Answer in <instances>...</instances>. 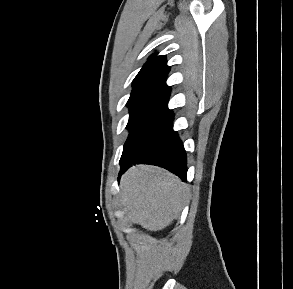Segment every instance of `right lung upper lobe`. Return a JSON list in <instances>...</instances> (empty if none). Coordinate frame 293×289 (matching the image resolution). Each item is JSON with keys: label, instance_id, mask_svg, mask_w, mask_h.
Segmentation results:
<instances>
[{"label": "right lung upper lobe", "instance_id": "cb5924a9", "mask_svg": "<svg viewBox=\"0 0 293 289\" xmlns=\"http://www.w3.org/2000/svg\"><path fill=\"white\" fill-rule=\"evenodd\" d=\"M169 71L166 56H150L133 80V90L128 101L156 100L167 103L170 87L166 85V77Z\"/></svg>", "mask_w": 293, "mask_h": 289}]
</instances>
